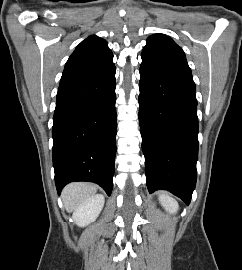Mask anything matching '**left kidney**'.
Instances as JSON below:
<instances>
[{
  "mask_svg": "<svg viewBox=\"0 0 242 270\" xmlns=\"http://www.w3.org/2000/svg\"><path fill=\"white\" fill-rule=\"evenodd\" d=\"M159 200L161 202V205L170 214L176 213L178 211L179 208L178 203L173 198L165 194H159Z\"/></svg>",
  "mask_w": 242,
  "mask_h": 270,
  "instance_id": "1",
  "label": "left kidney"
}]
</instances>
